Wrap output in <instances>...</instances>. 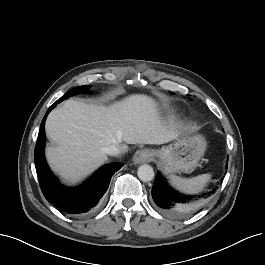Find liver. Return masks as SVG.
I'll list each match as a JSON object with an SVG mask.
<instances>
[{
  "label": "liver",
  "instance_id": "liver-1",
  "mask_svg": "<svg viewBox=\"0 0 265 265\" xmlns=\"http://www.w3.org/2000/svg\"><path fill=\"white\" fill-rule=\"evenodd\" d=\"M45 131L56 144L46 148L47 161L71 183L100 167L110 145L125 151L126 144L159 145L177 137L162 122L155 100L139 94L107 107L67 100L48 115Z\"/></svg>",
  "mask_w": 265,
  "mask_h": 265
}]
</instances>
